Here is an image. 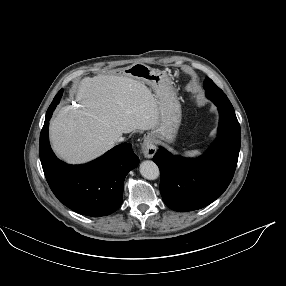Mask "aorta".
Segmentation results:
<instances>
[{
	"label": "aorta",
	"instance_id": "obj_1",
	"mask_svg": "<svg viewBox=\"0 0 286 286\" xmlns=\"http://www.w3.org/2000/svg\"><path fill=\"white\" fill-rule=\"evenodd\" d=\"M140 173L141 175L148 180H155L159 177V168L158 166L150 160L143 161L140 164Z\"/></svg>",
	"mask_w": 286,
	"mask_h": 286
}]
</instances>
